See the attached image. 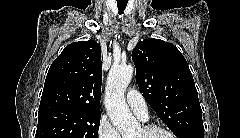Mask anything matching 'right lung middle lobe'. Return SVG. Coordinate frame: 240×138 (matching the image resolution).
Instances as JSON below:
<instances>
[{
	"label": "right lung middle lobe",
	"mask_w": 240,
	"mask_h": 138,
	"mask_svg": "<svg viewBox=\"0 0 240 138\" xmlns=\"http://www.w3.org/2000/svg\"><path fill=\"white\" fill-rule=\"evenodd\" d=\"M100 112L59 110L38 115L36 138H97Z\"/></svg>",
	"instance_id": "1"
}]
</instances>
